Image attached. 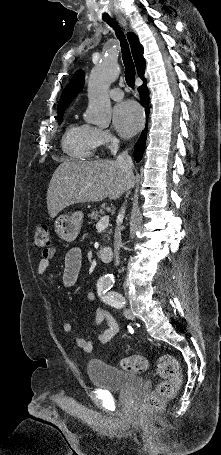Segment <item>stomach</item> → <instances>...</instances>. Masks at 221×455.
I'll list each match as a JSON object with an SVG mask.
<instances>
[{
  "instance_id": "stomach-1",
  "label": "stomach",
  "mask_w": 221,
  "mask_h": 455,
  "mask_svg": "<svg viewBox=\"0 0 221 455\" xmlns=\"http://www.w3.org/2000/svg\"><path fill=\"white\" fill-rule=\"evenodd\" d=\"M83 213L81 211L74 212L71 215L62 214L55 220V232L66 242H73L81 228Z\"/></svg>"
}]
</instances>
